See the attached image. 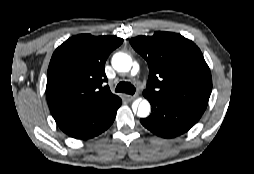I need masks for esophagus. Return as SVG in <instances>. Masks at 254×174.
Wrapping results in <instances>:
<instances>
[{
    "label": "esophagus",
    "instance_id": "esophagus-1",
    "mask_svg": "<svg viewBox=\"0 0 254 174\" xmlns=\"http://www.w3.org/2000/svg\"><path fill=\"white\" fill-rule=\"evenodd\" d=\"M125 98L127 101H132L136 98V96L135 95H125Z\"/></svg>",
    "mask_w": 254,
    "mask_h": 174
}]
</instances>
